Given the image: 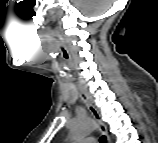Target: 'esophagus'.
Returning a JSON list of instances; mask_svg holds the SVG:
<instances>
[{
  "label": "esophagus",
  "mask_w": 158,
  "mask_h": 143,
  "mask_svg": "<svg viewBox=\"0 0 158 143\" xmlns=\"http://www.w3.org/2000/svg\"><path fill=\"white\" fill-rule=\"evenodd\" d=\"M81 98L84 101V103L86 104L89 112L91 113V115L93 116V118L95 119V121L98 123L99 125V131L101 132V134L104 136L105 138V143L109 142V136L107 134L106 131V126L104 125V123L102 122L101 119V115L99 113V111L97 110V108L88 100V98L86 97V95L84 93H81Z\"/></svg>",
  "instance_id": "obj_1"
}]
</instances>
